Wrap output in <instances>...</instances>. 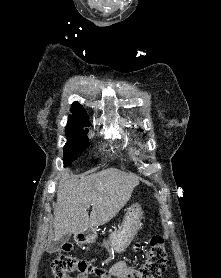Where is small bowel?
I'll list each match as a JSON object with an SVG mask.
<instances>
[{
  "instance_id": "1",
  "label": "small bowel",
  "mask_w": 221,
  "mask_h": 278,
  "mask_svg": "<svg viewBox=\"0 0 221 278\" xmlns=\"http://www.w3.org/2000/svg\"><path fill=\"white\" fill-rule=\"evenodd\" d=\"M133 271L132 268L129 267V265L124 262L120 261L115 263L109 270L104 271L101 273L99 278H127L126 276L130 274ZM69 278H74V277H69Z\"/></svg>"
}]
</instances>
